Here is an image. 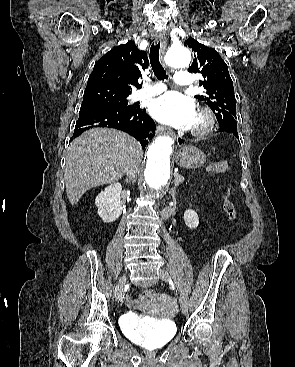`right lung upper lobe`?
<instances>
[{"label":"right lung upper lobe","mask_w":295,"mask_h":367,"mask_svg":"<svg viewBox=\"0 0 295 367\" xmlns=\"http://www.w3.org/2000/svg\"><path fill=\"white\" fill-rule=\"evenodd\" d=\"M146 52L139 50L134 42L128 41L107 52L95 64L86 89L102 87L118 94L129 95L133 87L138 88L137 79L141 69L148 67Z\"/></svg>","instance_id":"right-lung-upper-lobe-1"}]
</instances>
